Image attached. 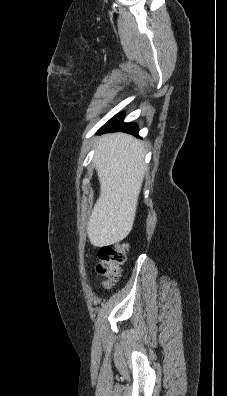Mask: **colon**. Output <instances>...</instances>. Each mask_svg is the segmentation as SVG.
Listing matches in <instances>:
<instances>
[{"label":"colon","instance_id":"colon-1","mask_svg":"<svg viewBox=\"0 0 227 396\" xmlns=\"http://www.w3.org/2000/svg\"><path fill=\"white\" fill-rule=\"evenodd\" d=\"M127 245L116 244L104 246L99 250V264L97 272L105 277L104 284L110 286L115 283L120 275L121 266L126 260Z\"/></svg>","mask_w":227,"mask_h":396}]
</instances>
